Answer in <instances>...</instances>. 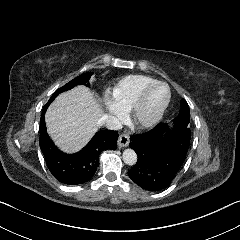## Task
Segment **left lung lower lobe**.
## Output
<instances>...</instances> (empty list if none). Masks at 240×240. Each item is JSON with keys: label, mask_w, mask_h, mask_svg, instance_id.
Here are the masks:
<instances>
[{"label": "left lung lower lobe", "mask_w": 240, "mask_h": 240, "mask_svg": "<svg viewBox=\"0 0 240 240\" xmlns=\"http://www.w3.org/2000/svg\"><path fill=\"white\" fill-rule=\"evenodd\" d=\"M190 139L189 126L176 121L171 129L159 124L148 132L131 136L129 147L138 160L128 171L129 177L148 191L166 188L186 158Z\"/></svg>", "instance_id": "left-lung-lower-lobe-1"}]
</instances>
